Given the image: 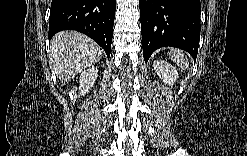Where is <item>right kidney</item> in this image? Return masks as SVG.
<instances>
[{
	"label": "right kidney",
	"mask_w": 247,
	"mask_h": 156,
	"mask_svg": "<svg viewBox=\"0 0 247 156\" xmlns=\"http://www.w3.org/2000/svg\"><path fill=\"white\" fill-rule=\"evenodd\" d=\"M98 77V69L92 67L84 70L79 79V96H85L86 93L93 87L96 78Z\"/></svg>",
	"instance_id": "1"
}]
</instances>
